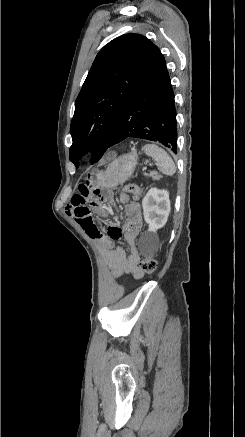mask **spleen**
I'll return each instance as SVG.
<instances>
[{
  "instance_id": "spleen-1",
  "label": "spleen",
  "mask_w": 245,
  "mask_h": 437,
  "mask_svg": "<svg viewBox=\"0 0 245 437\" xmlns=\"http://www.w3.org/2000/svg\"><path fill=\"white\" fill-rule=\"evenodd\" d=\"M144 152L156 161L158 169L165 175L172 176L176 172V165L169 154L155 144H146Z\"/></svg>"
}]
</instances>
